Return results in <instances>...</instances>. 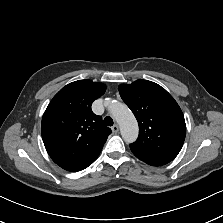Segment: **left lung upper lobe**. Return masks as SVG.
Masks as SVG:
<instances>
[{
    "mask_svg": "<svg viewBox=\"0 0 223 223\" xmlns=\"http://www.w3.org/2000/svg\"><path fill=\"white\" fill-rule=\"evenodd\" d=\"M118 90L139 124L138 139L130 144L133 154L153 166L172 161L186 135L184 116L177 102L160 85L143 79L121 84Z\"/></svg>",
    "mask_w": 223,
    "mask_h": 223,
    "instance_id": "obj_1",
    "label": "left lung upper lobe"
}]
</instances>
